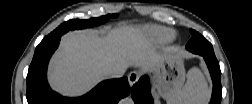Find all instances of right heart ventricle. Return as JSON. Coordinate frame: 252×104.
<instances>
[{"label":"right heart ventricle","instance_id":"e07e8e85","mask_svg":"<svg viewBox=\"0 0 252 104\" xmlns=\"http://www.w3.org/2000/svg\"><path fill=\"white\" fill-rule=\"evenodd\" d=\"M148 32L153 38L160 42L171 41L175 36V32L168 28H150Z\"/></svg>","mask_w":252,"mask_h":104}]
</instances>
